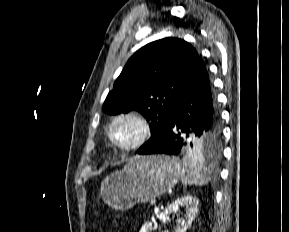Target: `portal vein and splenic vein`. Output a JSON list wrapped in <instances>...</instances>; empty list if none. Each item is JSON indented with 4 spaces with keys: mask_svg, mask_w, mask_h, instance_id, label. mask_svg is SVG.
Segmentation results:
<instances>
[{
    "mask_svg": "<svg viewBox=\"0 0 289 232\" xmlns=\"http://www.w3.org/2000/svg\"><path fill=\"white\" fill-rule=\"evenodd\" d=\"M150 204L151 205H156V200H151Z\"/></svg>",
    "mask_w": 289,
    "mask_h": 232,
    "instance_id": "18ae733b",
    "label": "portal vein and splenic vein"
}]
</instances>
